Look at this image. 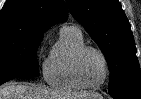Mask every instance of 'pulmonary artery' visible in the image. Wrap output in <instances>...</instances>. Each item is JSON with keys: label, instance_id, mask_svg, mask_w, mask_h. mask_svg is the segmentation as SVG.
<instances>
[{"label": "pulmonary artery", "instance_id": "1", "mask_svg": "<svg viewBox=\"0 0 141 99\" xmlns=\"http://www.w3.org/2000/svg\"><path fill=\"white\" fill-rule=\"evenodd\" d=\"M65 30H69V31H74V32H80V28L77 27V26H74V25H71V26H63L61 31H65Z\"/></svg>", "mask_w": 141, "mask_h": 99}]
</instances>
